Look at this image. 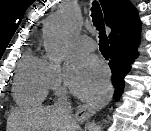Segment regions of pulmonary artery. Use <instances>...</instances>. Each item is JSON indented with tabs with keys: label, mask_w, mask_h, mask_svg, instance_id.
I'll return each instance as SVG.
<instances>
[{
	"label": "pulmonary artery",
	"mask_w": 151,
	"mask_h": 131,
	"mask_svg": "<svg viewBox=\"0 0 151 131\" xmlns=\"http://www.w3.org/2000/svg\"><path fill=\"white\" fill-rule=\"evenodd\" d=\"M80 46L85 49V50H93L94 49V43L93 41L88 38V37H84L81 39L80 41Z\"/></svg>",
	"instance_id": "e3ab8cb5"
}]
</instances>
